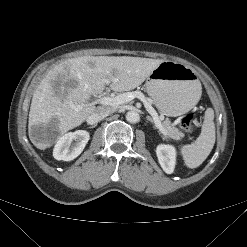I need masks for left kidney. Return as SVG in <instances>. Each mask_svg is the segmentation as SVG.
Masks as SVG:
<instances>
[{"mask_svg":"<svg viewBox=\"0 0 247 247\" xmlns=\"http://www.w3.org/2000/svg\"><path fill=\"white\" fill-rule=\"evenodd\" d=\"M156 154L164 172L167 174L173 173L176 164L175 148L171 145H158L156 148Z\"/></svg>","mask_w":247,"mask_h":247,"instance_id":"5707ae66","label":"left kidney"}]
</instances>
